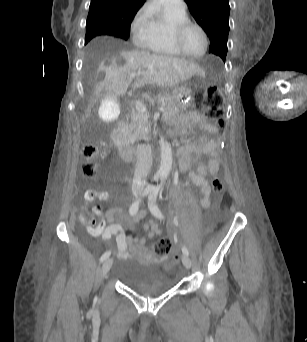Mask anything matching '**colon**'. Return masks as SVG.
I'll return each mask as SVG.
<instances>
[{
    "mask_svg": "<svg viewBox=\"0 0 307 342\" xmlns=\"http://www.w3.org/2000/svg\"><path fill=\"white\" fill-rule=\"evenodd\" d=\"M224 87L209 86L205 91V97L202 102V107L208 118L214 119L220 123L223 122L222 110V94H224ZM105 144L87 143L82 148V154L86 161L81 166L83 176L96 179L98 175L97 158L105 155ZM210 186L215 193H222L224 189L222 177L214 173L210 177ZM153 251L158 257H168L172 251L171 240L167 237L159 239L153 246ZM173 259L176 263L180 262V256L174 255Z\"/></svg>",
    "mask_w": 307,
    "mask_h": 342,
    "instance_id": "obj_1",
    "label": "colon"
}]
</instances>
